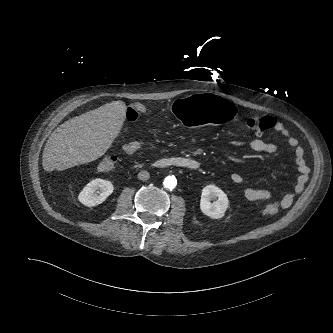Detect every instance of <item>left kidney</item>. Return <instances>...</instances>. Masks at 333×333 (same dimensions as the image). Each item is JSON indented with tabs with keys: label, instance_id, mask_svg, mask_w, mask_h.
Returning a JSON list of instances; mask_svg holds the SVG:
<instances>
[{
	"label": "left kidney",
	"instance_id": "5707ae66",
	"mask_svg": "<svg viewBox=\"0 0 333 333\" xmlns=\"http://www.w3.org/2000/svg\"><path fill=\"white\" fill-rule=\"evenodd\" d=\"M217 198L213 203L210 200ZM229 205L227 195L215 185H207L202 189L200 209L203 214L220 219L224 216Z\"/></svg>",
	"mask_w": 333,
	"mask_h": 333
}]
</instances>
